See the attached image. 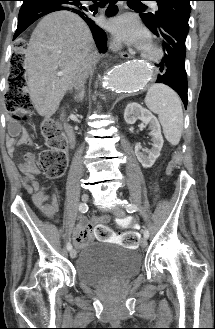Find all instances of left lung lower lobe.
Wrapping results in <instances>:
<instances>
[{
	"mask_svg": "<svg viewBox=\"0 0 215 329\" xmlns=\"http://www.w3.org/2000/svg\"><path fill=\"white\" fill-rule=\"evenodd\" d=\"M150 30L159 37L165 52L161 62L157 65L160 73L156 82L164 83L174 89L186 108L188 86L185 70V42L188 33L169 22H162L158 28Z\"/></svg>",
	"mask_w": 215,
	"mask_h": 329,
	"instance_id": "left-lung-lower-lobe-1",
	"label": "left lung lower lobe"
}]
</instances>
